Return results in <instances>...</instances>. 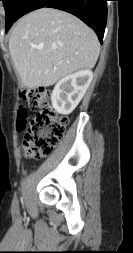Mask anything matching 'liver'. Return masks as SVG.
Masks as SVG:
<instances>
[{"label": "liver", "mask_w": 133, "mask_h": 253, "mask_svg": "<svg viewBox=\"0 0 133 253\" xmlns=\"http://www.w3.org/2000/svg\"><path fill=\"white\" fill-rule=\"evenodd\" d=\"M9 51L22 84L37 88L51 86L78 70L92 69L100 43L94 31L77 17L41 8L14 25Z\"/></svg>", "instance_id": "6515ba94"}]
</instances>
